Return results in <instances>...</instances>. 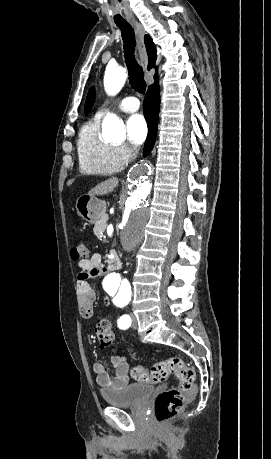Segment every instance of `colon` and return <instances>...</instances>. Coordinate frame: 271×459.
<instances>
[{"mask_svg": "<svg viewBox=\"0 0 271 459\" xmlns=\"http://www.w3.org/2000/svg\"><path fill=\"white\" fill-rule=\"evenodd\" d=\"M88 254L84 241H79L71 248V257L75 261L87 258ZM95 334L102 347H108L114 343V331L110 321L106 318H100L97 321ZM171 374L178 378L179 385L156 397L154 409L158 423H164L175 417L180 413L184 404L195 396V371L179 356H172L157 362L151 368L136 366L132 370L133 378L141 383H160Z\"/></svg>", "mask_w": 271, "mask_h": 459, "instance_id": "colon-1", "label": "colon"}]
</instances>
